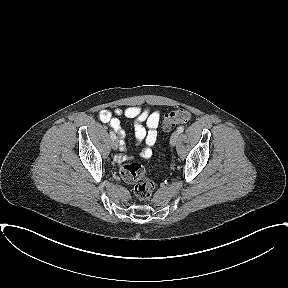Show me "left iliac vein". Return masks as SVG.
Listing matches in <instances>:
<instances>
[{
    "label": "left iliac vein",
    "mask_w": 288,
    "mask_h": 288,
    "mask_svg": "<svg viewBox=\"0 0 288 288\" xmlns=\"http://www.w3.org/2000/svg\"><path fill=\"white\" fill-rule=\"evenodd\" d=\"M179 138V133L176 131L171 135L170 144L171 146H175L177 144Z\"/></svg>",
    "instance_id": "obj_1"
}]
</instances>
